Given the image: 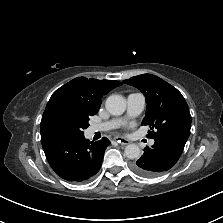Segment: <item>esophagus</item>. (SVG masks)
Instances as JSON below:
<instances>
[{"label": "esophagus", "instance_id": "1", "mask_svg": "<svg viewBox=\"0 0 223 223\" xmlns=\"http://www.w3.org/2000/svg\"><path fill=\"white\" fill-rule=\"evenodd\" d=\"M114 140L121 145H128L130 143V141L128 139H125V138L120 137V136L115 137Z\"/></svg>", "mask_w": 223, "mask_h": 223}]
</instances>
